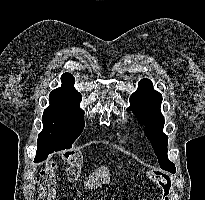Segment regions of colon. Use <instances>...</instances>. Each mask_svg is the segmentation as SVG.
I'll return each instance as SVG.
<instances>
[{
  "label": "colon",
  "mask_w": 205,
  "mask_h": 200,
  "mask_svg": "<svg viewBox=\"0 0 205 200\" xmlns=\"http://www.w3.org/2000/svg\"><path fill=\"white\" fill-rule=\"evenodd\" d=\"M62 159L66 163V177L69 181L74 182L80 174L82 164V154L77 149H68L63 152ZM149 178L155 182L159 189L164 193V200H169L171 183L168 176L158 171H149ZM57 163L55 161L47 162L41 170L39 181V200H56L57 188Z\"/></svg>",
  "instance_id": "obj_1"
}]
</instances>
